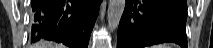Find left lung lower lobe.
I'll return each instance as SVG.
<instances>
[{
  "label": "left lung lower lobe",
  "mask_w": 213,
  "mask_h": 48,
  "mask_svg": "<svg viewBox=\"0 0 213 48\" xmlns=\"http://www.w3.org/2000/svg\"><path fill=\"white\" fill-rule=\"evenodd\" d=\"M186 0H126L117 48H147L175 42L187 48Z\"/></svg>",
  "instance_id": "left-lung-lower-lobe-1"
}]
</instances>
